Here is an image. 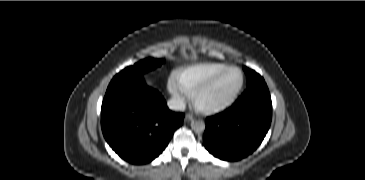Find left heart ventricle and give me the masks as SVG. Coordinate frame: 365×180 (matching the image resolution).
Wrapping results in <instances>:
<instances>
[{"label":"left heart ventricle","mask_w":365,"mask_h":180,"mask_svg":"<svg viewBox=\"0 0 365 180\" xmlns=\"http://www.w3.org/2000/svg\"><path fill=\"white\" fill-rule=\"evenodd\" d=\"M241 82L237 70H229L221 75L209 88L200 93L197 102L201 107H211L228 101Z\"/></svg>","instance_id":"1"}]
</instances>
